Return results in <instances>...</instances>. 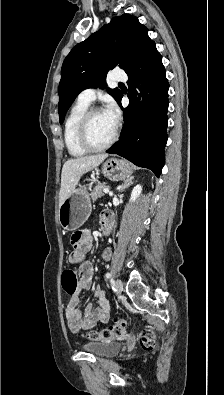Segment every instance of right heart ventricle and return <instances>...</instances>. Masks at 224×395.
Here are the masks:
<instances>
[{
  "instance_id": "1",
  "label": "right heart ventricle",
  "mask_w": 224,
  "mask_h": 395,
  "mask_svg": "<svg viewBox=\"0 0 224 395\" xmlns=\"http://www.w3.org/2000/svg\"><path fill=\"white\" fill-rule=\"evenodd\" d=\"M89 104L77 101L70 109L64 124V141L69 154L73 157H82L87 153L78 139V125L82 115Z\"/></svg>"
}]
</instances>
